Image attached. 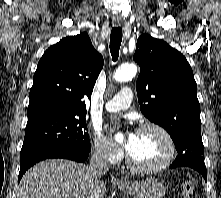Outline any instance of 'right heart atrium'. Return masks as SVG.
Here are the masks:
<instances>
[{
	"label": "right heart atrium",
	"instance_id": "obj_1",
	"mask_svg": "<svg viewBox=\"0 0 221 198\" xmlns=\"http://www.w3.org/2000/svg\"><path fill=\"white\" fill-rule=\"evenodd\" d=\"M92 150L96 158L111 164L118 162L121 157L120 152L99 133L93 136Z\"/></svg>",
	"mask_w": 221,
	"mask_h": 198
}]
</instances>
